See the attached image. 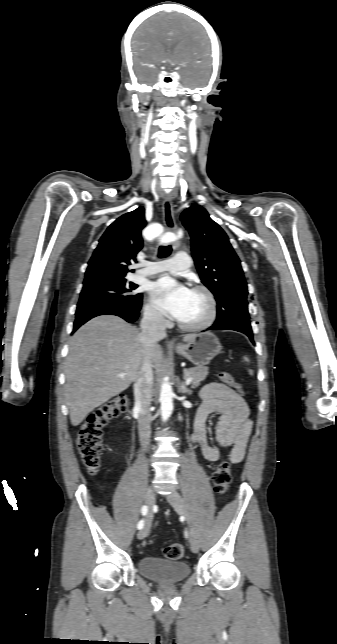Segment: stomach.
<instances>
[{
  "instance_id": "1",
  "label": "stomach",
  "mask_w": 337,
  "mask_h": 644,
  "mask_svg": "<svg viewBox=\"0 0 337 644\" xmlns=\"http://www.w3.org/2000/svg\"><path fill=\"white\" fill-rule=\"evenodd\" d=\"M175 350L197 367H204L221 352L222 346L214 334L205 332L196 334L190 342L179 344Z\"/></svg>"
}]
</instances>
